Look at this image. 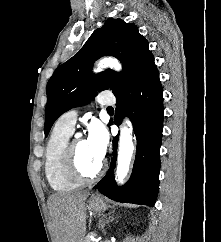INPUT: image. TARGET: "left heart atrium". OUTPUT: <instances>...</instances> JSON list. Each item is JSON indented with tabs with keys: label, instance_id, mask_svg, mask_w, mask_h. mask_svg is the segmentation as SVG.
<instances>
[{
	"label": "left heart atrium",
	"instance_id": "39dd6f15",
	"mask_svg": "<svg viewBox=\"0 0 221 242\" xmlns=\"http://www.w3.org/2000/svg\"><path fill=\"white\" fill-rule=\"evenodd\" d=\"M85 142L92 155L101 161L109 142L105 127L100 122L93 121L88 127V135Z\"/></svg>",
	"mask_w": 221,
	"mask_h": 242
}]
</instances>
